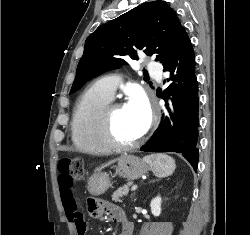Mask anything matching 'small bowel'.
<instances>
[{
	"mask_svg": "<svg viewBox=\"0 0 250 235\" xmlns=\"http://www.w3.org/2000/svg\"><path fill=\"white\" fill-rule=\"evenodd\" d=\"M60 197L67 218L75 225L79 235H85L87 223L83 220L80 213L77 212L71 188L60 187ZM87 207L94 217L105 215L110 217L114 222L120 223L122 225L120 235H132L133 225L126 220L123 211L117 205L90 201L88 202Z\"/></svg>",
	"mask_w": 250,
	"mask_h": 235,
	"instance_id": "small-bowel-1",
	"label": "small bowel"
}]
</instances>
